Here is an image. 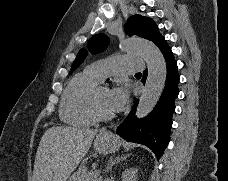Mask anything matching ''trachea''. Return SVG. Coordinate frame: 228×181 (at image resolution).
Listing matches in <instances>:
<instances>
[{
    "label": "trachea",
    "mask_w": 228,
    "mask_h": 181,
    "mask_svg": "<svg viewBox=\"0 0 228 181\" xmlns=\"http://www.w3.org/2000/svg\"><path fill=\"white\" fill-rule=\"evenodd\" d=\"M136 75H141V73H136Z\"/></svg>",
    "instance_id": "3493384b"
}]
</instances>
